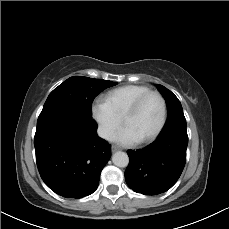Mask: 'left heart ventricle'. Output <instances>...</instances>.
Masks as SVG:
<instances>
[{
	"instance_id": "1",
	"label": "left heart ventricle",
	"mask_w": 229,
	"mask_h": 229,
	"mask_svg": "<svg viewBox=\"0 0 229 229\" xmlns=\"http://www.w3.org/2000/svg\"><path fill=\"white\" fill-rule=\"evenodd\" d=\"M162 118V105L158 97H148L138 111L127 122L124 129L137 139L152 134L159 126Z\"/></svg>"
}]
</instances>
